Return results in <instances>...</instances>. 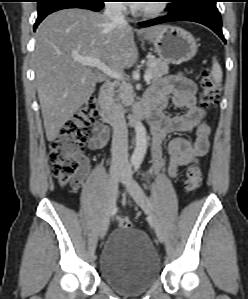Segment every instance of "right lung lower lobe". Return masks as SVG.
<instances>
[{
    "label": "right lung lower lobe",
    "mask_w": 248,
    "mask_h": 299,
    "mask_svg": "<svg viewBox=\"0 0 248 299\" xmlns=\"http://www.w3.org/2000/svg\"><path fill=\"white\" fill-rule=\"evenodd\" d=\"M104 6L103 0H45L38 4V18L34 30L50 13L67 8H83L100 11Z\"/></svg>",
    "instance_id": "98d812e1"
}]
</instances>
